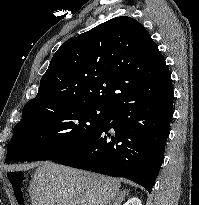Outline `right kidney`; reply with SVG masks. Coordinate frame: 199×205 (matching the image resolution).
Listing matches in <instances>:
<instances>
[{"label": "right kidney", "instance_id": "ca27d5eb", "mask_svg": "<svg viewBox=\"0 0 199 205\" xmlns=\"http://www.w3.org/2000/svg\"><path fill=\"white\" fill-rule=\"evenodd\" d=\"M124 205H142V203L138 198L133 197L130 198Z\"/></svg>", "mask_w": 199, "mask_h": 205}]
</instances>
